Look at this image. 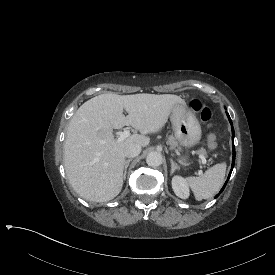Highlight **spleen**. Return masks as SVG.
Returning a JSON list of instances; mask_svg holds the SVG:
<instances>
[{
	"mask_svg": "<svg viewBox=\"0 0 275 275\" xmlns=\"http://www.w3.org/2000/svg\"><path fill=\"white\" fill-rule=\"evenodd\" d=\"M225 173L226 163H218L200 177H189L187 181L196 200L208 199L217 194L223 185Z\"/></svg>",
	"mask_w": 275,
	"mask_h": 275,
	"instance_id": "3e777b00",
	"label": "spleen"
}]
</instances>
